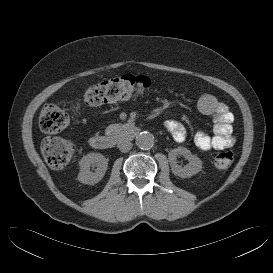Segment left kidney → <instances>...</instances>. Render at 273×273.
Listing matches in <instances>:
<instances>
[{"mask_svg":"<svg viewBox=\"0 0 273 273\" xmlns=\"http://www.w3.org/2000/svg\"><path fill=\"white\" fill-rule=\"evenodd\" d=\"M178 155L185 157L189 161V164L184 167L178 165L176 161ZM168 157L172 172L180 178H190L202 169L201 159L197 155L192 154L185 147H177L171 150Z\"/></svg>","mask_w":273,"mask_h":273,"instance_id":"1","label":"left kidney"}]
</instances>
